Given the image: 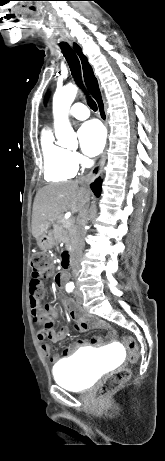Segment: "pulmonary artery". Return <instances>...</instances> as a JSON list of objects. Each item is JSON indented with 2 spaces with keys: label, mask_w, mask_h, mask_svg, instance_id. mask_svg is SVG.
<instances>
[{
  "label": "pulmonary artery",
  "mask_w": 165,
  "mask_h": 461,
  "mask_svg": "<svg viewBox=\"0 0 165 461\" xmlns=\"http://www.w3.org/2000/svg\"><path fill=\"white\" fill-rule=\"evenodd\" d=\"M69 114L79 120H84L89 117L87 107L82 103H75L69 110Z\"/></svg>",
  "instance_id": "e3ab8cb5"
}]
</instances>
